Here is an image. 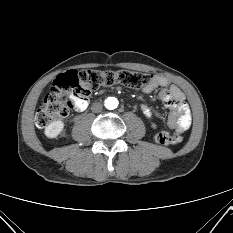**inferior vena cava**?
Returning a JSON list of instances; mask_svg holds the SVG:
<instances>
[{"mask_svg": "<svg viewBox=\"0 0 233 233\" xmlns=\"http://www.w3.org/2000/svg\"><path fill=\"white\" fill-rule=\"evenodd\" d=\"M102 104L100 102H94L92 104L91 110L95 113L101 112L102 111Z\"/></svg>", "mask_w": 233, "mask_h": 233, "instance_id": "obj_1", "label": "inferior vena cava"}]
</instances>
